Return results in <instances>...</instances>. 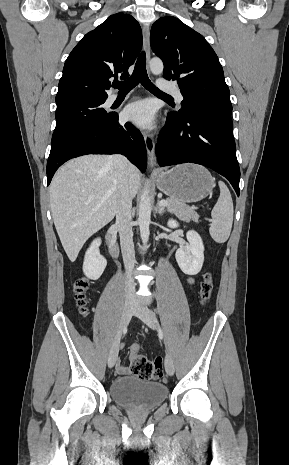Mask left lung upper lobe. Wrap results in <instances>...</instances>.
Masks as SVG:
<instances>
[{
	"instance_id": "obj_1",
	"label": "left lung upper lobe",
	"mask_w": 289,
	"mask_h": 465,
	"mask_svg": "<svg viewBox=\"0 0 289 465\" xmlns=\"http://www.w3.org/2000/svg\"><path fill=\"white\" fill-rule=\"evenodd\" d=\"M150 43L164 63V77L177 80L184 97L177 115L190 110L231 116L230 91L218 57L202 35L179 19H158L151 28Z\"/></svg>"
}]
</instances>
